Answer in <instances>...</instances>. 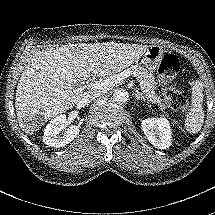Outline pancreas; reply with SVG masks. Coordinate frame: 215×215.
<instances>
[{"mask_svg":"<svg viewBox=\"0 0 215 215\" xmlns=\"http://www.w3.org/2000/svg\"><path fill=\"white\" fill-rule=\"evenodd\" d=\"M126 71L140 83L141 93L148 102L157 104L162 111L166 109V105L155 92V78L151 72L140 65H131Z\"/></svg>","mask_w":215,"mask_h":215,"instance_id":"obj_1","label":"pancreas"}]
</instances>
